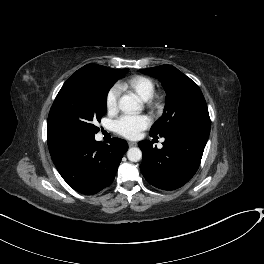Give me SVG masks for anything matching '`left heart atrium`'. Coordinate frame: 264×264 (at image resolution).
Instances as JSON below:
<instances>
[{"mask_svg":"<svg viewBox=\"0 0 264 264\" xmlns=\"http://www.w3.org/2000/svg\"><path fill=\"white\" fill-rule=\"evenodd\" d=\"M150 124L151 119L146 115H123L115 121L114 128L118 134L134 139Z\"/></svg>","mask_w":264,"mask_h":264,"instance_id":"left-heart-atrium-1","label":"left heart atrium"}]
</instances>
